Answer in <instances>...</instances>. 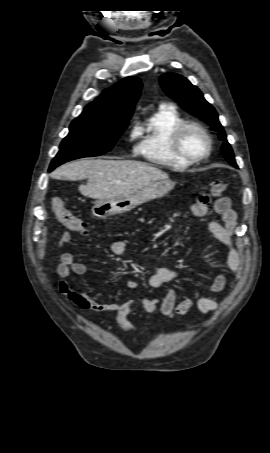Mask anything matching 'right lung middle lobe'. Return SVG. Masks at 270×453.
<instances>
[{
  "label": "right lung middle lobe",
  "mask_w": 270,
  "mask_h": 453,
  "mask_svg": "<svg viewBox=\"0 0 270 453\" xmlns=\"http://www.w3.org/2000/svg\"><path fill=\"white\" fill-rule=\"evenodd\" d=\"M127 125L94 118H76L70 125L69 134L61 142L49 171L73 159L98 156L110 151Z\"/></svg>",
  "instance_id": "1"
}]
</instances>
